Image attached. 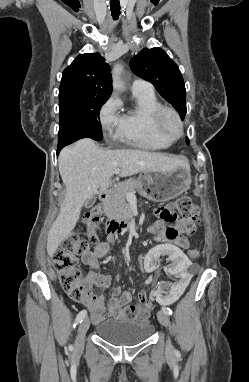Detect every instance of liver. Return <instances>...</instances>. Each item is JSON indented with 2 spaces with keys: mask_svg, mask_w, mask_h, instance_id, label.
Returning <instances> with one entry per match:
<instances>
[{
  "mask_svg": "<svg viewBox=\"0 0 249 382\" xmlns=\"http://www.w3.org/2000/svg\"><path fill=\"white\" fill-rule=\"evenodd\" d=\"M58 166L66 196L48 232L50 257L75 228L86 200L107 190L116 169L121 177L145 171L169 172L178 167L190 169L189 163L178 157L138 149H102L89 138L65 147L60 152Z\"/></svg>",
  "mask_w": 249,
  "mask_h": 382,
  "instance_id": "obj_1",
  "label": "liver"
}]
</instances>
